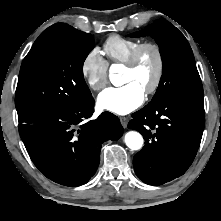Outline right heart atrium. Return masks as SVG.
Wrapping results in <instances>:
<instances>
[{
	"label": "right heart atrium",
	"instance_id": "d8ad5b80",
	"mask_svg": "<svg viewBox=\"0 0 221 221\" xmlns=\"http://www.w3.org/2000/svg\"><path fill=\"white\" fill-rule=\"evenodd\" d=\"M81 74L93 91H99L107 84L108 63L98 48H92L84 56L81 62Z\"/></svg>",
	"mask_w": 221,
	"mask_h": 221
}]
</instances>
